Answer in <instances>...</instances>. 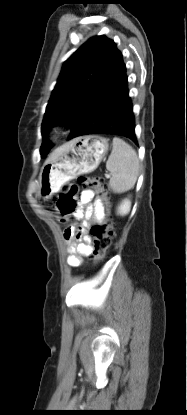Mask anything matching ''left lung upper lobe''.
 Listing matches in <instances>:
<instances>
[{
    "mask_svg": "<svg viewBox=\"0 0 187 415\" xmlns=\"http://www.w3.org/2000/svg\"><path fill=\"white\" fill-rule=\"evenodd\" d=\"M115 47L114 41L104 35L95 36L65 61L43 118L41 157L50 150L45 139L50 127L73 128L85 115L91 116L99 109V101H91V93Z\"/></svg>",
    "mask_w": 187,
    "mask_h": 415,
    "instance_id": "1",
    "label": "left lung upper lobe"
}]
</instances>
